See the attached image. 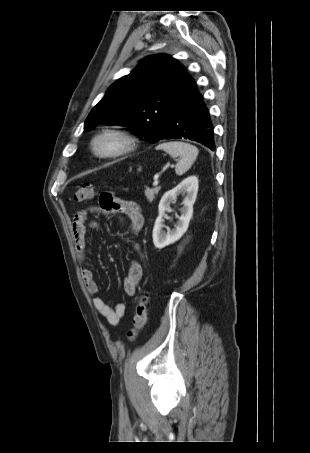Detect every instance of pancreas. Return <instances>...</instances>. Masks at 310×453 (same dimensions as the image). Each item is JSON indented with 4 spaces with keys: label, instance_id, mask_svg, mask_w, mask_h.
Here are the masks:
<instances>
[{
    "label": "pancreas",
    "instance_id": "obj_1",
    "mask_svg": "<svg viewBox=\"0 0 310 453\" xmlns=\"http://www.w3.org/2000/svg\"><path fill=\"white\" fill-rule=\"evenodd\" d=\"M159 190H160V187H156L153 189L146 188L145 196L149 203L153 202V200L155 199V196L158 194Z\"/></svg>",
    "mask_w": 310,
    "mask_h": 453
}]
</instances>
